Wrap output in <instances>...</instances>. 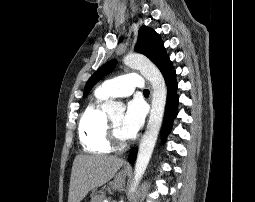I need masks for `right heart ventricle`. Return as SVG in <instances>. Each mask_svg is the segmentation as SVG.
<instances>
[{"label": "right heart ventricle", "mask_w": 255, "mask_h": 202, "mask_svg": "<svg viewBox=\"0 0 255 202\" xmlns=\"http://www.w3.org/2000/svg\"><path fill=\"white\" fill-rule=\"evenodd\" d=\"M105 100L95 94L94 100L84 110L79 122V137L85 151L101 154L112 150L107 139V116L101 108Z\"/></svg>", "instance_id": "1"}]
</instances>
